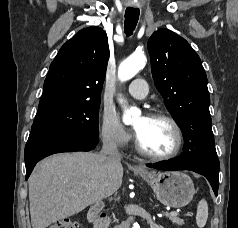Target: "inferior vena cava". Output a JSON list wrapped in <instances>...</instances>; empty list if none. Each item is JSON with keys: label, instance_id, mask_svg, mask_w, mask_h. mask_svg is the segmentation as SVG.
<instances>
[{"label": "inferior vena cava", "instance_id": "602c4592", "mask_svg": "<svg viewBox=\"0 0 238 228\" xmlns=\"http://www.w3.org/2000/svg\"><path fill=\"white\" fill-rule=\"evenodd\" d=\"M100 155L111 160L121 159L117 145L112 139H104Z\"/></svg>", "mask_w": 238, "mask_h": 228}]
</instances>
